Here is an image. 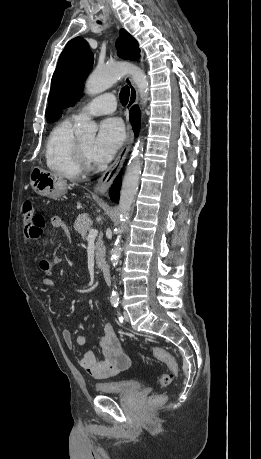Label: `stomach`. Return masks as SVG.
Wrapping results in <instances>:
<instances>
[{"instance_id": "1", "label": "stomach", "mask_w": 261, "mask_h": 459, "mask_svg": "<svg viewBox=\"0 0 261 459\" xmlns=\"http://www.w3.org/2000/svg\"><path fill=\"white\" fill-rule=\"evenodd\" d=\"M30 185L34 192L51 199H58L67 191V183L62 176L39 167L32 169Z\"/></svg>"}]
</instances>
